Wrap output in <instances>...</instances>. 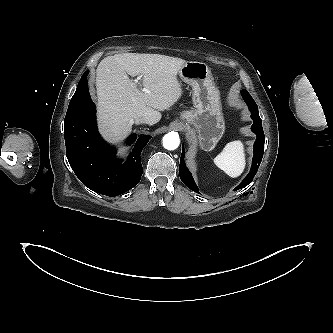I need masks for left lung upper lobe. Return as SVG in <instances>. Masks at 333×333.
<instances>
[{"label": "left lung upper lobe", "mask_w": 333, "mask_h": 333, "mask_svg": "<svg viewBox=\"0 0 333 333\" xmlns=\"http://www.w3.org/2000/svg\"><path fill=\"white\" fill-rule=\"evenodd\" d=\"M243 93H248L246 90H243Z\"/></svg>", "instance_id": "5c2ea615"}]
</instances>
